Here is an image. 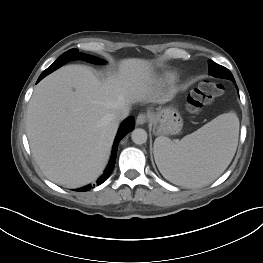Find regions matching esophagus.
<instances>
[{"label":"esophagus","instance_id":"1","mask_svg":"<svg viewBox=\"0 0 263 263\" xmlns=\"http://www.w3.org/2000/svg\"><path fill=\"white\" fill-rule=\"evenodd\" d=\"M147 119H148V116L146 113H140L138 116H137V119H136V123L138 125H143L144 123L147 122Z\"/></svg>","mask_w":263,"mask_h":263}]
</instances>
